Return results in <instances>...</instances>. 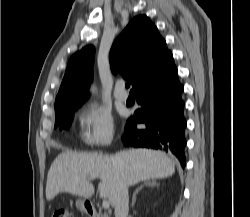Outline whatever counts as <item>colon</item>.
Wrapping results in <instances>:
<instances>
[{
    "instance_id": "colon-1",
    "label": "colon",
    "mask_w": 250,
    "mask_h": 217,
    "mask_svg": "<svg viewBox=\"0 0 250 217\" xmlns=\"http://www.w3.org/2000/svg\"><path fill=\"white\" fill-rule=\"evenodd\" d=\"M52 217H74L72 212L65 207H58L56 208L53 213Z\"/></svg>"
}]
</instances>
